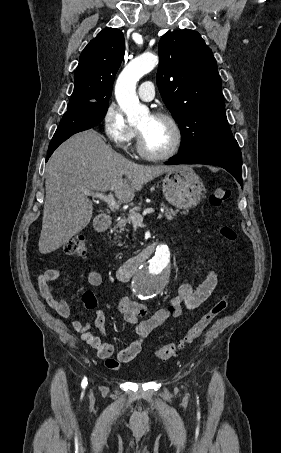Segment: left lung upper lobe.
I'll return each instance as SVG.
<instances>
[{"mask_svg":"<svg viewBox=\"0 0 281 453\" xmlns=\"http://www.w3.org/2000/svg\"><path fill=\"white\" fill-rule=\"evenodd\" d=\"M157 85L182 135L179 153L234 140L216 60L194 30L168 32L159 42Z\"/></svg>","mask_w":281,"mask_h":453,"instance_id":"5c2ea615","label":"left lung upper lobe"}]
</instances>
